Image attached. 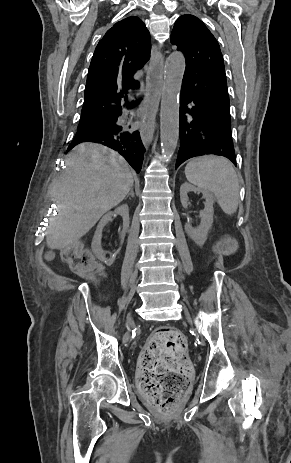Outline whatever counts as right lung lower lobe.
Instances as JSON below:
<instances>
[{
  "label": "right lung lower lobe",
  "mask_w": 291,
  "mask_h": 463,
  "mask_svg": "<svg viewBox=\"0 0 291 463\" xmlns=\"http://www.w3.org/2000/svg\"><path fill=\"white\" fill-rule=\"evenodd\" d=\"M121 113L122 108L96 119L82 120L93 121L94 125L78 129L74 140L68 147V151L79 143H100L117 151L139 173L142 167L145 147L138 131H132L130 126L128 127L118 122V117Z\"/></svg>",
  "instance_id": "right-lung-lower-lobe-1"
}]
</instances>
